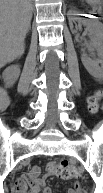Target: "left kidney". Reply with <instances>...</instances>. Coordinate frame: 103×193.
<instances>
[{
	"label": "left kidney",
	"instance_id": "obj_1",
	"mask_svg": "<svg viewBox=\"0 0 103 193\" xmlns=\"http://www.w3.org/2000/svg\"><path fill=\"white\" fill-rule=\"evenodd\" d=\"M69 24L70 28H73V22L78 21L79 23L86 25V32L91 35L90 36V47L91 50L95 51L97 54V59H91L87 57L84 53L81 55V61L94 78L100 79L103 76V33L102 26L96 20H86L82 18H78L75 16H82L76 10L68 11Z\"/></svg>",
	"mask_w": 103,
	"mask_h": 193
}]
</instances>
